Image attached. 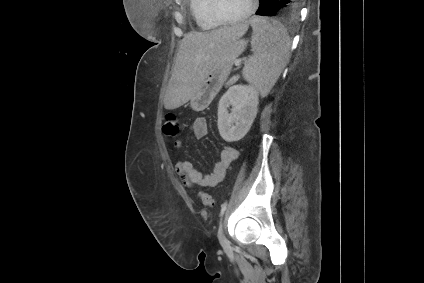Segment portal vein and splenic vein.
Returning a JSON list of instances; mask_svg holds the SVG:
<instances>
[{
  "mask_svg": "<svg viewBox=\"0 0 424 283\" xmlns=\"http://www.w3.org/2000/svg\"><path fill=\"white\" fill-rule=\"evenodd\" d=\"M235 65H236L237 67H239V66L241 65V60H240V59H237V60L235 61Z\"/></svg>",
  "mask_w": 424,
  "mask_h": 283,
  "instance_id": "18ae733b",
  "label": "portal vein and splenic vein"
}]
</instances>
